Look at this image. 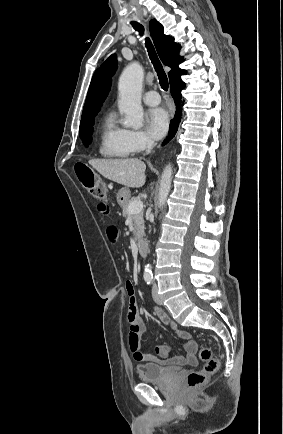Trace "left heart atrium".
<instances>
[{
	"instance_id": "left-heart-atrium-1",
	"label": "left heart atrium",
	"mask_w": 283,
	"mask_h": 434,
	"mask_svg": "<svg viewBox=\"0 0 283 434\" xmlns=\"http://www.w3.org/2000/svg\"><path fill=\"white\" fill-rule=\"evenodd\" d=\"M147 126L150 135L159 139L165 135L169 126V117L163 108H154L148 112Z\"/></svg>"
}]
</instances>
